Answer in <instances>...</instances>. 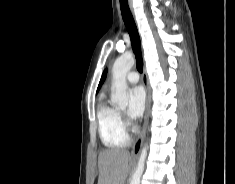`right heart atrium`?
Here are the masks:
<instances>
[{"instance_id": "obj_1", "label": "right heart atrium", "mask_w": 235, "mask_h": 184, "mask_svg": "<svg viewBox=\"0 0 235 184\" xmlns=\"http://www.w3.org/2000/svg\"><path fill=\"white\" fill-rule=\"evenodd\" d=\"M120 119H121V121H122L123 123H125V120H124V118H123V117H120Z\"/></svg>"}]
</instances>
